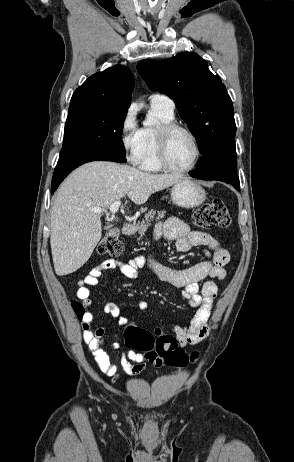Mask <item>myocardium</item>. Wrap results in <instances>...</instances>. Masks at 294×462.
Listing matches in <instances>:
<instances>
[{"label": "myocardium", "mask_w": 294, "mask_h": 462, "mask_svg": "<svg viewBox=\"0 0 294 462\" xmlns=\"http://www.w3.org/2000/svg\"><path fill=\"white\" fill-rule=\"evenodd\" d=\"M177 131H183L185 132L192 140L194 148H195V155L194 158L191 162V164L187 167L184 168H176L172 166L169 162L168 159V145L171 136L177 132ZM201 145L200 142L196 136V134L187 126H184L182 124H178L175 122H170L166 124H162L157 131V156H158V162L161 166V168L167 172L171 173H186L191 170H193L201 157Z\"/></svg>", "instance_id": "f54148a6"}]
</instances>
